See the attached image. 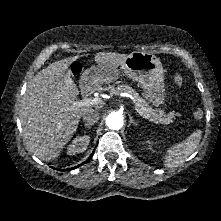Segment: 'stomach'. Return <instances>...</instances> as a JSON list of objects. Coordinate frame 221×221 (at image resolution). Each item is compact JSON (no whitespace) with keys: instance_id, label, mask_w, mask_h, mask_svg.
I'll use <instances>...</instances> for the list:
<instances>
[{"instance_id":"obj_1","label":"stomach","mask_w":221,"mask_h":221,"mask_svg":"<svg viewBox=\"0 0 221 221\" xmlns=\"http://www.w3.org/2000/svg\"><path fill=\"white\" fill-rule=\"evenodd\" d=\"M98 70V66L85 70L81 75L80 86L90 85L98 75ZM119 70L123 71L129 78L141 86L143 97L149 103H152L154 106L164 104V70L158 57L143 51H135L127 55L120 69L117 68L109 74V83L118 79Z\"/></svg>"}]
</instances>
